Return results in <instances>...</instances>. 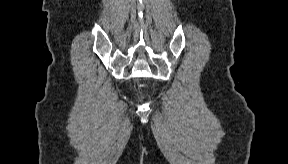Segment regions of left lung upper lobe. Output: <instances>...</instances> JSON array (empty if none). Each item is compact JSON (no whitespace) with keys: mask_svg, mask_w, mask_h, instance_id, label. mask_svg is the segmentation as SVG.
I'll return each mask as SVG.
<instances>
[{"mask_svg":"<svg viewBox=\"0 0 288 164\" xmlns=\"http://www.w3.org/2000/svg\"><path fill=\"white\" fill-rule=\"evenodd\" d=\"M248 81H249L250 84H251V83L254 84V82H255V80H254L253 78H249Z\"/></svg>","mask_w":288,"mask_h":164,"instance_id":"obj_1","label":"left lung upper lobe"}]
</instances>
